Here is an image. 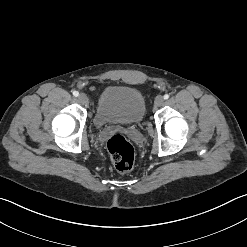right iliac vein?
<instances>
[{
    "label": "right iliac vein",
    "instance_id": "63e3f726",
    "mask_svg": "<svg viewBox=\"0 0 247 247\" xmlns=\"http://www.w3.org/2000/svg\"><path fill=\"white\" fill-rule=\"evenodd\" d=\"M78 100H79L82 104H87V103H88V97H87L84 93H81V94L78 96Z\"/></svg>",
    "mask_w": 247,
    "mask_h": 247
}]
</instances>
